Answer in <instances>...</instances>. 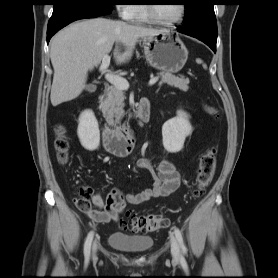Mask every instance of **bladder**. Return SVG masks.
<instances>
[{
    "label": "bladder",
    "instance_id": "1",
    "mask_svg": "<svg viewBox=\"0 0 278 278\" xmlns=\"http://www.w3.org/2000/svg\"><path fill=\"white\" fill-rule=\"evenodd\" d=\"M108 244L125 252H145L153 246V239L147 235H128L117 231L109 235Z\"/></svg>",
    "mask_w": 278,
    "mask_h": 278
}]
</instances>
